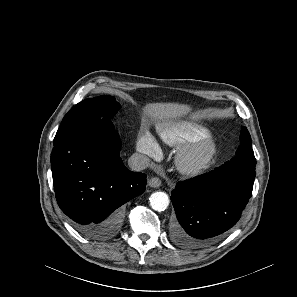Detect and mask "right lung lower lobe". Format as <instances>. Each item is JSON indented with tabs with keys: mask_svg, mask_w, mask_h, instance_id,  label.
<instances>
[{
	"mask_svg": "<svg viewBox=\"0 0 297 297\" xmlns=\"http://www.w3.org/2000/svg\"><path fill=\"white\" fill-rule=\"evenodd\" d=\"M51 169L56 200L74 228L93 240L116 235L123 205L145 191L146 175L120 158L114 126H92L53 141Z\"/></svg>",
	"mask_w": 297,
	"mask_h": 297,
	"instance_id": "right-lung-lower-lobe-1",
	"label": "right lung lower lobe"
}]
</instances>
